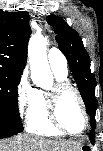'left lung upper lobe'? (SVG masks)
I'll list each match as a JSON object with an SVG mask.
<instances>
[{
    "label": "left lung upper lobe",
    "mask_w": 103,
    "mask_h": 151,
    "mask_svg": "<svg viewBox=\"0 0 103 151\" xmlns=\"http://www.w3.org/2000/svg\"><path fill=\"white\" fill-rule=\"evenodd\" d=\"M49 25L54 26L55 37L59 49L66 56L70 70L77 83L88 115L96 113L97 100L95 98L96 79L90 70V58L83 46L78 33L61 18L55 15L47 17Z\"/></svg>",
    "instance_id": "left-lung-upper-lobe-1"
}]
</instances>
